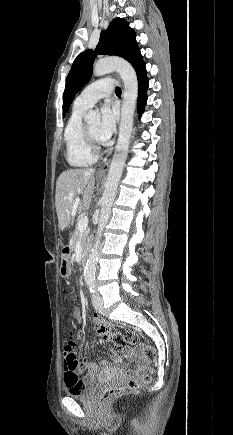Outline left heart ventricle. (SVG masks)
<instances>
[{
  "instance_id": "obj_1",
  "label": "left heart ventricle",
  "mask_w": 233,
  "mask_h": 435,
  "mask_svg": "<svg viewBox=\"0 0 233 435\" xmlns=\"http://www.w3.org/2000/svg\"><path fill=\"white\" fill-rule=\"evenodd\" d=\"M92 135L98 140L99 120L90 121L87 123Z\"/></svg>"
}]
</instances>
